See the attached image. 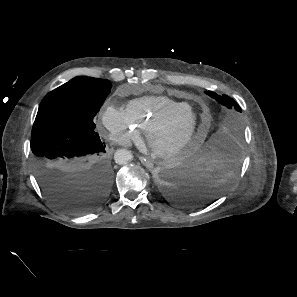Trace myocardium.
Instances as JSON below:
<instances>
[{"label":"myocardium","instance_id":"obj_1","mask_svg":"<svg viewBox=\"0 0 297 297\" xmlns=\"http://www.w3.org/2000/svg\"><path fill=\"white\" fill-rule=\"evenodd\" d=\"M186 115L196 116V121L192 125L186 137L171 147L164 148V147L157 146L155 143L156 136L161 131H163L168 126V124ZM199 129H200V117L195 112V110L188 105L187 107L181 110L161 116L152 125H150L146 131V141L153 155H155L156 157L162 160H168L180 154L186 147H188L193 141V139L196 137V135L198 134Z\"/></svg>","mask_w":297,"mask_h":297}]
</instances>
